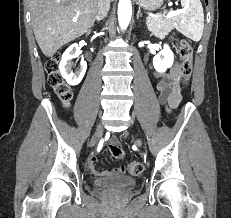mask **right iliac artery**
<instances>
[{"mask_svg": "<svg viewBox=\"0 0 231 218\" xmlns=\"http://www.w3.org/2000/svg\"><path fill=\"white\" fill-rule=\"evenodd\" d=\"M102 144H103V141H101V142H100V144H99V146H98V151H100V150H101V148H102Z\"/></svg>", "mask_w": 231, "mask_h": 218, "instance_id": "82829eb1", "label": "right iliac artery"}]
</instances>
